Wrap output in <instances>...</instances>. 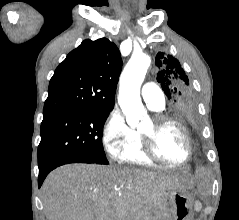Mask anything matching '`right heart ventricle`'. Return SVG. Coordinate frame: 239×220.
Masks as SVG:
<instances>
[{
  "label": "right heart ventricle",
  "instance_id": "obj_1",
  "mask_svg": "<svg viewBox=\"0 0 239 220\" xmlns=\"http://www.w3.org/2000/svg\"><path fill=\"white\" fill-rule=\"evenodd\" d=\"M138 134V133H137ZM121 160L135 165H153L151 160L143 151L141 137L138 134V139L135 144L126 149L121 157Z\"/></svg>",
  "mask_w": 239,
  "mask_h": 220
}]
</instances>
